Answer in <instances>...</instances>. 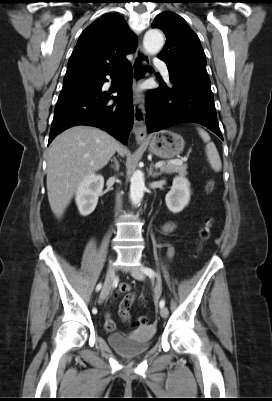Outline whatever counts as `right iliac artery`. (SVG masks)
I'll return each mask as SVG.
<instances>
[{
	"label": "right iliac artery",
	"mask_w": 272,
	"mask_h": 401,
	"mask_svg": "<svg viewBox=\"0 0 272 401\" xmlns=\"http://www.w3.org/2000/svg\"><path fill=\"white\" fill-rule=\"evenodd\" d=\"M101 288H102V284L99 283V284L96 286V291H99ZM92 312H93V314H96V313H97V309H96V308H93V309H92Z\"/></svg>",
	"instance_id": "right-iliac-artery-1"
}]
</instances>
